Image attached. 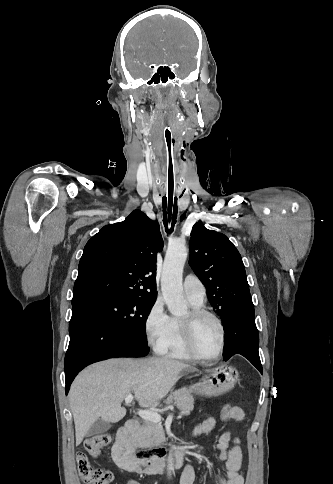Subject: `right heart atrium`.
Returning <instances> with one entry per match:
<instances>
[{
  "mask_svg": "<svg viewBox=\"0 0 333 484\" xmlns=\"http://www.w3.org/2000/svg\"><path fill=\"white\" fill-rule=\"evenodd\" d=\"M170 316L166 313L162 300L157 299L144 319V332L148 344L161 352L169 332Z\"/></svg>",
  "mask_w": 333,
  "mask_h": 484,
  "instance_id": "d8ad5b80",
  "label": "right heart atrium"
}]
</instances>
